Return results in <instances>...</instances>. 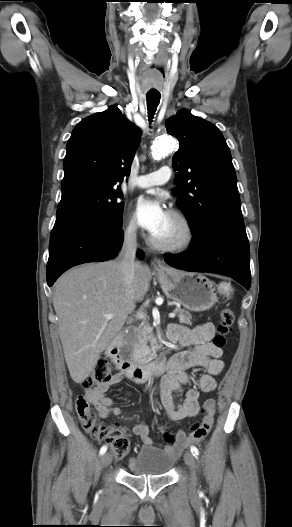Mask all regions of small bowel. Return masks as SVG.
Returning <instances> with one entry per match:
<instances>
[{
  "label": "small bowel",
  "mask_w": 292,
  "mask_h": 527,
  "mask_svg": "<svg viewBox=\"0 0 292 527\" xmlns=\"http://www.w3.org/2000/svg\"><path fill=\"white\" fill-rule=\"evenodd\" d=\"M214 333L215 328L212 323H204L194 328L172 324L168 328V339L187 348L169 359L166 374L161 380V400L166 414L172 421L194 417L200 412L203 414L201 423L193 425L189 435L179 431L173 437L164 426H160L162 437L172 443L164 449L173 457L179 456L186 447L200 442L209 433L213 424L216 402L214 399H208L201 405L199 391H214L217 385L215 376L224 369V362L221 360L222 349L211 342ZM194 366L203 367L206 373L198 378L195 386L184 393L182 403L175 404L171 392L180 391L182 386L189 382L185 370ZM123 378L124 374L117 372L108 382L86 391L85 398L96 408L101 418H107L111 414H121L119 408L113 407V400L106 395V392L110 386L119 383ZM132 432L139 436L145 445L154 444L147 424H136Z\"/></svg>",
  "instance_id": "obj_1"
}]
</instances>
